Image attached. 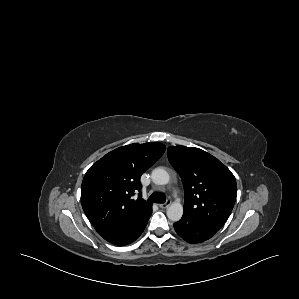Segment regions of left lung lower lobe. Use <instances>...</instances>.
I'll return each mask as SVG.
<instances>
[{"mask_svg":"<svg viewBox=\"0 0 299 299\" xmlns=\"http://www.w3.org/2000/svg\"><path fill=\"white\" fill-rule=\"evenodd\" d=\"M174 228L177 234L189 243L203 242L210 239L217 232L185 215L174 224Z\"/></svg>","mask_w":299,"mask_h":299,"instance_id":"1","label":"left lung lower lobe"}]
</instances>
